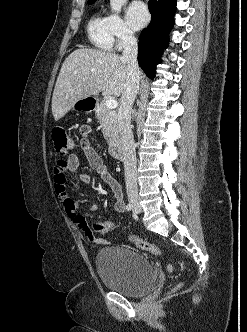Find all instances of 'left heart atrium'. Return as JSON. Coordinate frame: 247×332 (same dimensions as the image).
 I'll list each match as a JSON object with an SVG mask.
<instances>
[{"label": "left heart atrium", "instance_id": "1", "mask_svg": "<svg viewBox=\"0 0 247 332\" xmlns=\"http://www.w3.org/2000/svg\"><path fill=\"white\" fill-rule=\"evenodd\" d=\"M127 20L134 29H141L149 20V12L141 1L132 2L127 9Z\"/></svg>", "mask_w": 247, "mask_h": 332}]
</instances>
